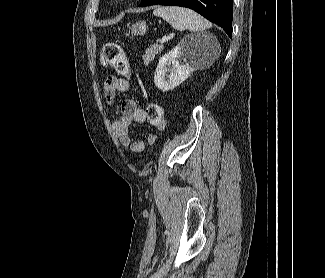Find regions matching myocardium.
<instances>
[{"mask_svg": "<svg viewBox=\"0 0 325 278\" xmlns=\"http://www.w3.org/2000/svg\"><path fill=\"white\" fill-rule=\"evenodd\" d=\"M117 3H124L126 1H129V0H115Z\"/></svg>", "mask_w": 325, "mask_h": 278, "instance_id": "myocardium-1", "label": "myocardium"}]
</instances>
